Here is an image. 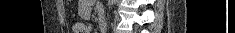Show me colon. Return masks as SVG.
<instances>
[{
	"label": "colon",
	"instance_id": "5ec220e1",
	"mask_svg": "<svg viewBox=\"0 0 235 33\" xmlns=\"http://www.w3.org/2000/svg\"><path fill=\"white\" fill-rule=\"evenodd\" d=\"M73 33H90V28L85 23L77 22L73 26Z\"/></svg>",
	"mask_w": 235,
	"mask_h": 33
}]
</instances>
